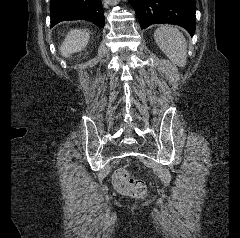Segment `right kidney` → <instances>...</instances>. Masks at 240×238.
<instances>
[{
    "label": "right kidney",
    "mask_w": 240,
    "mask_h": 238,
    "mask_svg": "<svg viewBox=\"0 0 240 238\" xmlns=\"http://www.w3.org/2000/svg\"><path fill=\"white\" fill-rule=\"evenodd\" d=\"M89 31L81 29L71 30L60 47L63 57H70L71 54L77 53L85 48L89 42Z\"/></svg>",
    "instance_id": "ca27d5eb"
}]
</instances>
